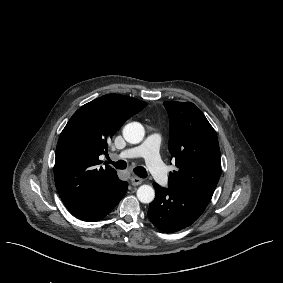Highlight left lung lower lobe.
<instances>
[{"mask_svg":"<svg viewBox=\"0 0 283 283\" xmlns=\"http://www.w3.org/2000/svg\"><path fill=\"white\" fill-rule=\"evenodd\" d=\"M156 196L149 205V220L164 232H176L191 225L204 212L207 202L176 188L153 183Z\"/></svg>","mask_w":283,"mask_h":283,"instance_id":"obj_1","label":"left lung lower lobe"}]
</instances>
